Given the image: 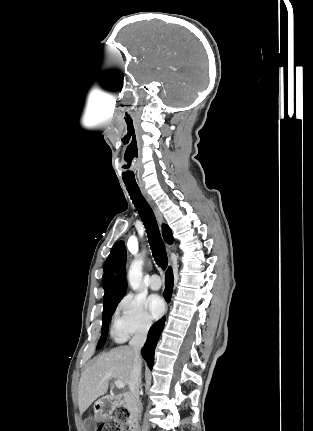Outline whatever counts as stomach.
<instances>
[{"label":"stomach","mask_w":313,"mask_h":431,"mask_svg":"<svg viewBox=\"0 0 313 431\" xmlns=\"http://www.w3.org/2000/svg\"><path fill=\"white\" fill-rule=\"evenodd\" d=\"M109 405V401L105 399H101L96 403V406H98V409L95 412V417L98 420H104L107 417V412L105 411V408Z\"/></svg>","instance_id":"stomach-1"}]
</instances>
